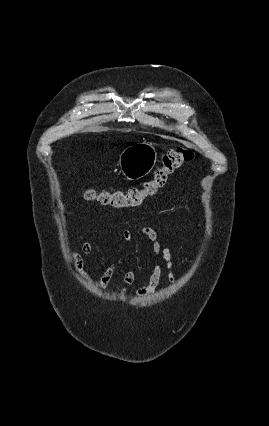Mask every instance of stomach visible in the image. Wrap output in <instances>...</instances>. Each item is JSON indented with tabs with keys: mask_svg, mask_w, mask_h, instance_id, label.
Returning <instances> with one entry per match:
<instances>
[{
	"mask_svg": "<svg viewBox=\"0 0 269 426\" xmlns=\"http://www.w3.org/2000/svg\"><path fill=\"white\" fill-rule=\"evenodd\" d=\"M157 161V152L152 143L139 142L124 149L118 165L122 175L130 181L147 176Z\"/></svg>",
	"mask_w": 269,
	"mask_h": 426,
	"instance_id": "stomach-1",
	"label": "stomach"
}]
</instances>
